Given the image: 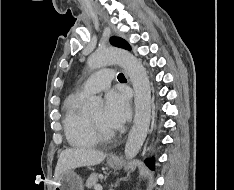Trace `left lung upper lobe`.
I'll list each match as a JSON object with an SVG mask.
<instances>
[{
  "label": "left lung upper lobe",
  "instance_id": "obj_1",
  "mask_svg": "<svg viewBox=\"0 0 234 190\" xmlns=\"http://www.w3.org/2000/svg\"><path fill=\"white\" fill-rule=\"evenodd\" d=\"M110 42L112 45L116 46V47H120V48H124L127 50H131L130 45L123 39L118 38V37H112L110 39Z\"/></svg>",
  "mask_w": 234,
  "mask_h": 190
}]
</instances>
